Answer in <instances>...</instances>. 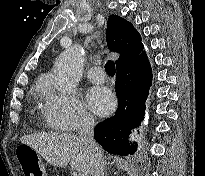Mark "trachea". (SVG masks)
I'll return each mask as SVG.
<instances>
[{
  "label": "trachea",
  "instance_id": "3493384b",
  "mask_svg": "<svg viewBox=\"0 0 205 176\" xmlns=\"http://www.w3.org/2000/svg\"><path fill=\"white\" fill-rule=\"evenodd\" d=\"M105 70L107 71L108 74L111 76L115 75V65L113 61H107L105 64Z\"/></svg>",
  "mask_w": 205,
  "mask_h": 176
}]
</instances>
